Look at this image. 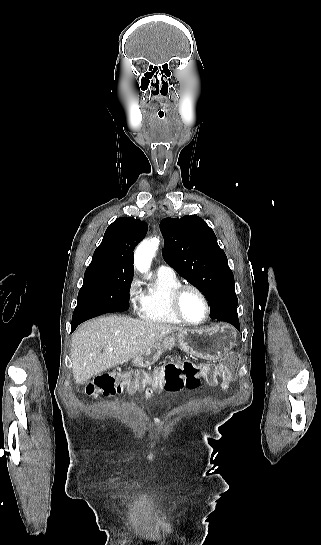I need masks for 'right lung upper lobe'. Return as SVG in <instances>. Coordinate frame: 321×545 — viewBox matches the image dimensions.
I'll list each match as a JSON object with an SVG mask.
<instances>
[{
	"mask_svg": "<svg viewBox=\"0 0 321 545\" xmlns=\"http://www.w3.org/2000/svg\"><path fill=\"white\" fill-rule=\"evenodd\" d=\"M147 224L131 217H120L108 226L86 271L104 270L113 274H133V250L144 238Z\"/></svg>",
	"mask_w": 321,
	"mask_h": 545,
	"instance_id": "right-lung-upper-lobe-1",
	"label": "right lung upper lobe"
}]
</instances>
